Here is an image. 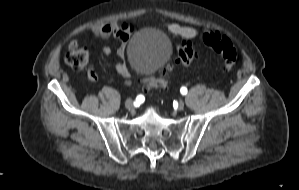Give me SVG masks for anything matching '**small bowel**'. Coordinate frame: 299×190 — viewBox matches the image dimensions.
<instances>
[{
    "label": "small bowel",
    "mask_w": 299,
    "mask_h": 190,
    "mask_svg": "<svg viewBox=\"0 0 299 190\" xmlns=\"http://www.w3.org/2000/svg\"><path fill=\"white\" fill-rule=\"evenodd\" d=\"M165 26L170 32L185 39H193L198 35V31L191 26H183L177 23H167ZM133 31V25L118 24L116 22L105 23L95 29V35L98 39L108 40L110 38H115L120 42L117 53L121 60L115 63V70L120 76L123 77H130L131 75V71L125 60V54L127 41L131 37ZM73 45H77V43L71 42L70 47ZM103 52L105 54H110L112 49L109 46H104ZM87 74L91 81H96L98 78L97 73L92 66H90V68L87 70Z\"/></svg>",
    "instance_id": "obj_1"
}]
</instances>
